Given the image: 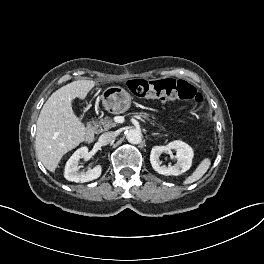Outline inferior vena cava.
I'll return each instance as SVG.
<instances>
[{
  "mask_svg": "<svg viewBox=\"0 0 264 264\" xmlns=\"http://www.w3.org/2000/svg\"><path fill=\"white\" fill-rule=\"evenodd\" d=\"M116 137L115 132H107L99 137V142L103 145L109 144Z\"/></svg>",
  "mask_w": 264,
  "mask_h": 264,
  "instance_id": "602c4592",
  "label": "inferior vena cava"
}]
</instances>
